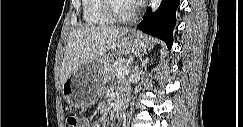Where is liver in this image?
<instances>
[{
  "mask_svg": "<svg viewBox=\"0 0 243 127\" xmlns=\"http://www.w3.org/2000/svg\"><path fill=\"white\" fill-rule=\"evenodd\" d=\"M127 28L79 26L70 32L60 74V83L87 62L102 58L114 50Z\"/></svg>",
  "mask_w": 243,
  "mask_h": 127,
  "instance_id": "6515ba94",
  "label": "liver"
}]
</instances>
